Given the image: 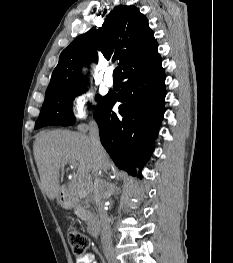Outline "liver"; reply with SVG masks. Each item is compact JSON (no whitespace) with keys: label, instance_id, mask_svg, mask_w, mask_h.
Instances as JSON below:
<instances>
[{"label":"liver","instance_id":"6515ba94","mask_svg":"<svg viewBox=\"0 0 233 263\" xmlns=\"http://www.w3.org/2000/svg\"><path fill=\"white\" fill-rule=\"evenodd\" d=\"M33 149L41 189L50 200L61 195L59 170L64 164L77 165L81 181L97 178L101 170L106 172L112 165L103 148L100 161H96L90 138L82 133L64 130L42 132L36 137Z\"/></svg>","mask_w":233,"mask_h":263}]
</instances>
